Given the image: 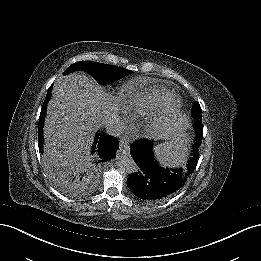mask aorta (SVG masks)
<instances>
[{"label":"aorta","mask_w":261,"mask_h":261,"mask_svg":"<svg viewBox=\"0 0 261 261\" xmlns=\"http://www.w3.org/2000/svg\"><path fill=\"white\" fill-rule=\"evenodd\" d=\"M116 164L126 174H134L138 170L136 163L129 155L119 154L116 158Z\"/></svg>","instance_id":"1"}]
</instances>
